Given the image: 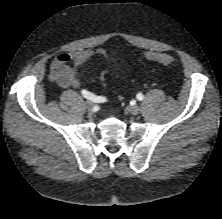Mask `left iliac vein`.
<instances>
[{
  "instance_id": "4c4485c4",
  "label": "left iliac vein",
  "mask_w": 222,
  "mask_h": 219,
  "mask_svg": "<svg viewBox=\"0 0 222 219\" xmlns=\"http://www.w3.org/2000/svg\"><path fill=\"white\" fill-rule=\"evenodd\" d=\"M129 111L131 114L137 115L140 112V108L138 105H132L130 106Z\"/></svg>"
}]
</instances>
